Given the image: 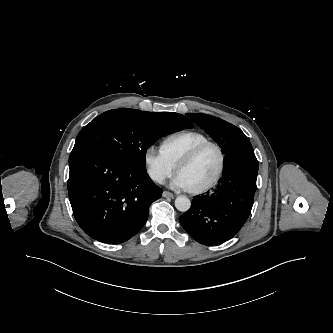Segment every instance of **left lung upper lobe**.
<instances>
[{"mask_svg":"<svg viewBox=\"0 0 333 333\" xmlns=\"http://www.w3.org/2000/svg\"><path fill=\"white\" fill-rule=\"evenodd\" d=\"M194 123L222 148L224 154L242 142L249 141L248 137L236 126L220 118L206 114H187Z\"/></svg>","mask_w":333,"mask_h":333,"instance_id":"5c2ea615","label":"left lung upper lobe"}]
</instances>
